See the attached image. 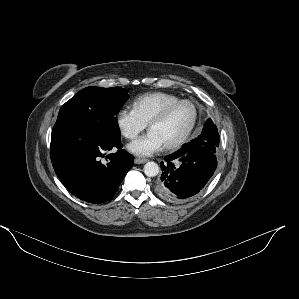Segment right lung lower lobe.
<instances>
[{
    "label": "right lung lower lobe",
    "instance_id": "obj_1",
    "mask_svg": "<svg viewBox=\"0 0 299 299\" xmlns=\"http://www.w3.org/2000/svg\"><path fill=\"white\" fill-rule=\"evenodd\" d=\"M116 147V153L105 151ZM120 139L75 133L51 140V161L62 184L77 198L103 203L117 191L133 165ZM109 159L105 164L101 158Z\"/></svg>",
    "mask_w": 299,
    "mask_h": 299
}]
</instances>
